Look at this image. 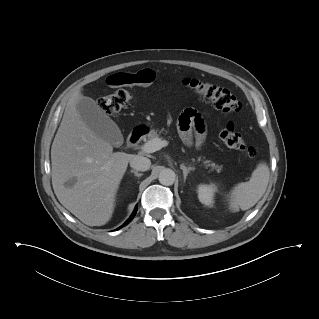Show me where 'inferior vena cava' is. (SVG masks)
<instances>
[{
    "instance_id": "1",
    "label": "inferior vena cava",
    "mask_w": 319,
    "mask_h": 319,
    "mask_svg": "<svg viewBox=\"0 0 319 319\" xmlns=\"http://www.w3.org/2000/svg\"><path fill=\"white\" fill-rule=\"evenodd\" d=\"M151 161L147 157L133 155L130 160V166L137 171H147L150 168Z\"/></svg>"
}]
</instances>
